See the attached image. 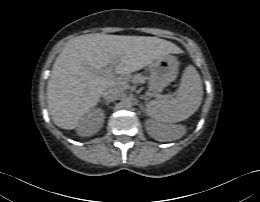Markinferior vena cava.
I'll return each instance as SVG.
<instances>
[{
    "label": "inferior vena cava",
    "instance_id": "inferior-vena-cava-1",
    "mask_svg": "<svg viewBox=\"0 0 260 202\" xmlns=\"http://www.w3.org/2000/svg\"><path fill=\"white\" fill-rule=\"evenodd\" d=\"M122 95L123 89L121 87L109 88L103 92L104 99L108 101L118 100L122 97Z\"/></svg>",
    "mask_w": 260,
    "mask_h": 202
}]
</instances>
